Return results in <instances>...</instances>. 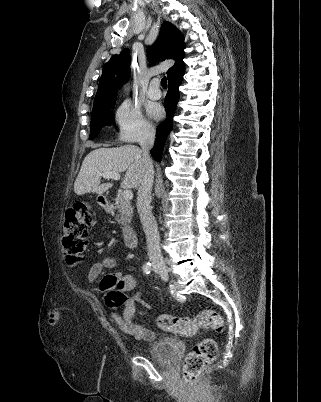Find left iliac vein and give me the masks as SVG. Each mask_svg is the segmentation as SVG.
I'll list each match as a JSON object with an SVG mask.
<instances>
[{
    "instance_id": "left-iliac-vein-1",
    "label": "left iliac vein",
    "mask_w": 321,
    "mask_h": 402,
    "mask_svg": "<svg viewBox=\"0 0 321 402\" xmlns=\"http://www.w3.org/2000/svg\"><path fill=\"white\" fill-rule=\"evenodd\" d=\"M159 275H160L161 279L164 281H167L169 278V275H168L167 271H165V270L159 271Z\"/></svg>"
}]
</instances>
